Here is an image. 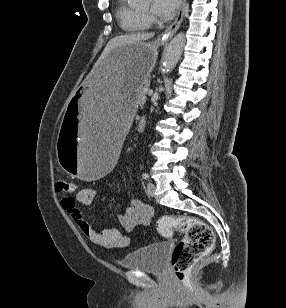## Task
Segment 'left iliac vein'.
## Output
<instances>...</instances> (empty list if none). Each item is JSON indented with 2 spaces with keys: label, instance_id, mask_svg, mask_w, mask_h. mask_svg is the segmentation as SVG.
I'll return each mask as SVG.
<instances>
[{
  "label": "left iliac vein",
  "instance_id": "1",
  "mask_svg": "<svg viewBox=\"0 0 286 308\" xmlns=\"http://www.w3.org/2000/svg\"><path fill=\"white\" fill-rule=\"evenodd\" d=\"M156 186L153 182H149L147 184V192L148 194L153 197L155 195Z\"/></svg>",
  "mask_w": 286,
  "mask_h": 308
}]
</instances>
